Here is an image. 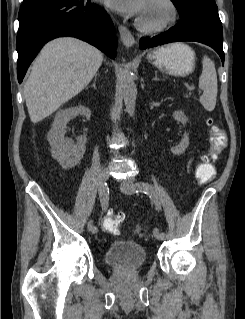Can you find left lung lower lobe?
I'll list each match as a JSON object with an SVG mask.
<instances>
[{
	"mask_svg": "<svg viewBox=\"0 0 245 319\" xmlns=\"http://www.w3.org/2000/svg\"><path fill=\"white\" fill-rule=\"evenodd\" d=\"M222 25L203 17L180 20L178 24L152 39L139 42L142 49L176 41H196L212 47L224 64Z\"/></svg>",
	"mask_w": 245,
	"mask_h": 319,
	"instance_id": "0a47b994",
	"label": "left lung lower lobe"
}]
</instances>
